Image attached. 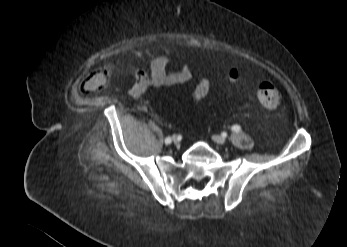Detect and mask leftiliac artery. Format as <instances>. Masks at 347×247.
Segmentation results:
<instances>
[{
  "mask_svg": "<svg viewBox=\"0 0 347 247\" xmlns=\"http://www.w3.org/2000/svg\"><path fill=\"white\" fill-rule=\"evenodd\" d=\"M231 129L233 132H236V133L241 131V127L239 125H234V126H232Z\"/></svg>",
  "mask_w": 347,
  "mask_h": 247,
  "instance_id": "1",
  "label": "left iliac artery"
}]
</instances>
